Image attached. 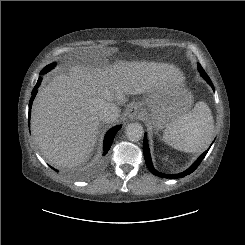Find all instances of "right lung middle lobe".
<instances>
[{
	"instance_id": "1",
	"label": "right lung middle lobe",
	"mask_w": 245,
	"mask_h": 245,
	"mask_svg": "<svg viewBox=\"0 0 245 245\" xmlns=\"http://www.w3.org/2000/svg\"><path fill=\"white\" fill-rule=\"evenodd\" d=\"M54 65H55L54 63L50 64V65H47L43 70L49 71V70H51L54 67Z\"/></svg>"
}]
</instances>
